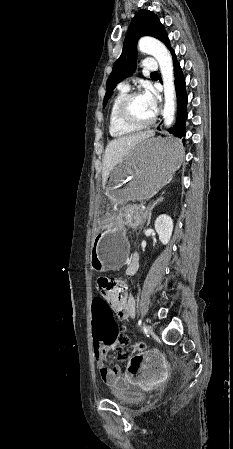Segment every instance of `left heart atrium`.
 <instances>
[{"mask_svg":"<svg viewBox=\"0 0 233 449\" xmlns=\"http://www.w3.org/2000/svg\"><path fill=\"white\" fill-rule=\"evenodd\" d=\"M144 98L146 99L150 109L155 114L158 108V95L157 93L151 89L147 88L143 93Z\"/></svg>","mask_w":233,"mask_h":449,"instance_id":"1","label":"left heart atrium"}]
</instances>
